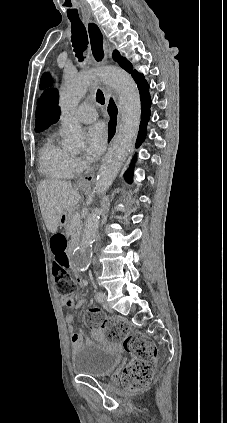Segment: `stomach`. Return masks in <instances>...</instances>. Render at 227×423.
Here are the masks:
<instances>
[{"label":"stomach","instance_id":"0dacf381","mask_svg":"<svg viewBox=\"0 0 227 423\" xmlns=\"http://www.w3.org/2000/svg\"><path fill=\"white\" fill-rule=\"evenodd\" d=\"M90 182H92V180H90ZM78 186H79V188H81V190H89V188H90V186H89V188H85V186H81L80 182H79Z\"/></svg>","mask_w":227,"mask_h":423}]
</instances>
